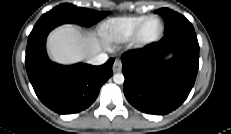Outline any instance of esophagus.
Returning <instances> with one entry per match:
<instances>
[{"instance_id": "obj_1", "label": "esophagus", "mask_w": 231, "mask_h": 134, "mask_svg": "<svg viewBox=\"0 0 231 134\" xmlns=\"http://www.w3.org/2000/svg\"><path fill=\"white\" fill-rule=\"evenodd\" d=\"M122 69V63L119 59H116L113 65V72H120Z\"/></svg>"}]
</instances>
